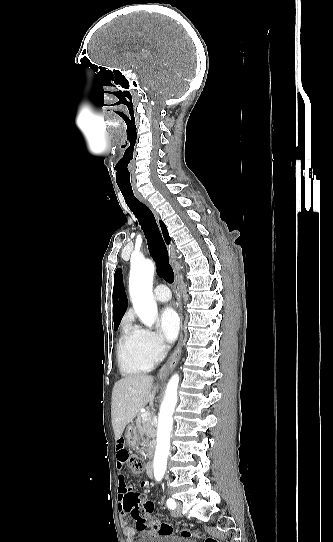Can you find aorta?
Here are the masks:
<instances>
[{
	"mask_svg": "<svg viewBox=\"0 0 333 542\" xmlns=\"http://www.w3.org/2000/svg\"><path fill=\"white\" fill-rule=\"evenodd\" d=\"M153 276L154 264L151 260H146V262L139 264L136 268H131L129 278V292L133 308L142 324L148 326V328H152L158 316L157 304L152 292ZM178 384L179 376L178 374H174L167 384L165 398L160 406L157 446L153 466L156 482H161L166 472L173 414L178 400Z\"/></svg>",
	"mask_w": 333,
	"mask_h": 542,
	"instance_id": "aorta-1",
	"label": "aorta"
}]
</instances>
